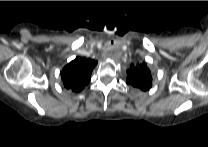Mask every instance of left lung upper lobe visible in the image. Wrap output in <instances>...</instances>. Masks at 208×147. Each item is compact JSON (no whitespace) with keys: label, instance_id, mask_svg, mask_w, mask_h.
<instances>
[{"label":"left lung upper lobe","instance_id":"left-lung-upper-lobe-1","mask_svg":"<svg viewBox=\"0 0 208 147\" xmlns=\"http://www.w3.org/2000/svg\"><path fill=\"white\" fill-rule=\"evenodd\" d=\"M126 82L143 91L150 89L152 86V76L146 63L131 66L130 69L127 70Z\"/></svg>","mask_w":208,"mask_h":147}]
</instances>
